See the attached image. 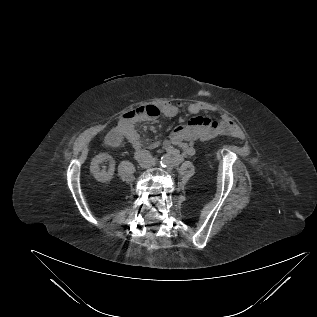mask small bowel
<instances>
[{
	"label": "small bowel",
	"mask_w": 317,
	"mask_h": 317,
	"mask_svg": "<svg viewBox=\"0 0 317 317\" xmlns=\"http://www.w3.org/2000/svg\"><path fill=\"white\" fill-rule=\"evenodd\" d=\"M186 108L192 115L186 125L176 126L170 136V140L164 144L166 152L174 157H191L195 154L193 146L194 141H208L218 135H234L238 129L234 125H230L222 119H211L203 116L202 113L207 111V107L198 102H171L162 101L160 103L161 114L167 118H173L178 115L180 109ZM113 133L122 134L130 140L133 146L140 147L141 139L135 129V122L133 120H125L121 122L107 137ZM178 147L181 150L179 154Z\"/></svg>",
	"instance_id": "c3829d8e"
}]
</instances>
